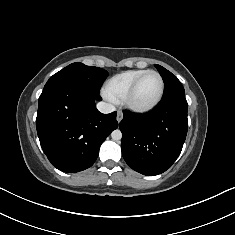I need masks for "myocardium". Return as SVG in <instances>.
I'll list each match as a JSON object with an SVG mask.
<instances>
[{
	"mask_svg": "<svg viewBox=\"0 0 235 235\" xmlns=\"http://www.w3.org/2000/svg\"><path fill=\"white\" fill-rule=\"evenodd\" d=\"M151 73L155 74L159 78V81H160V91H159L157 98L152 103L145 105V106H139V105L134 104L132 102V98L137 89V86L146 75L151 74ZM164 90H165V84H164V80L161 74L155 70H146L144 73L138 76L134 80V82L131 84V86L129 87V89L127 90L126 94L124 95L122 99V103L125 106V108H127L129 111L133 113H138V114L147 113L153 110L161 102L163 95H164Z\"/></svg>",
	"mask_w": 235,
	"mask_h": 235,
	"instance_id": "f54148a6",
	"label": "myocardium"
}]
</instances>
